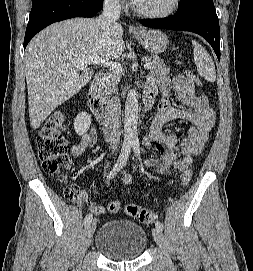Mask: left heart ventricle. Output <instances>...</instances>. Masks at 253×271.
I'll return each instance as SVG.
<instances>
[{"label": "left heart ventricle", "mask_w": 253, "mask_h": 271, "mask_svg": "<svg viewBox=\"0 0 253 271\" xmlns=\"http://www.w3.org/2000/svg\"><path fill=\"white\" fill-rule=\"evenodd\" d=\"M139 7L146 11L159 12L166 10L172 0H136Z\"/></svg>", "instance_id": "left-heart-ventricle-1"}]
</instances>
